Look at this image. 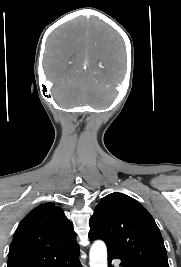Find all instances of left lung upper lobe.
<instances>
[{
	"label": "left lung upper lobe",
	"instance_id": "5c2ea615",
	"mask_svg": "<svg viewBox=\"0 0 181 267\" xmlns=\"http://www.w3.org/2000/svg\"><path fill=\"white\" fill-rule=\"evenodd\" d=\"M89 225V238L102 239L123 260L140 267H169L153 217L133 198L119 192L103 197Z\"/></svg>",
	"mask_w": 181,
	"mask_h": 267
}]
</instances>
